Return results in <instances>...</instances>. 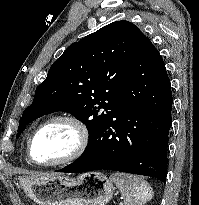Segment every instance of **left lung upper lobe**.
Here are the masks:
<instances>
[{"label": "left lung upper lobe", "instance_id": "obj_1", "mask_svg": "<svg viewBox=\"0 0 199 205\" xmlns=\"http://www.w3.org/2000/svg\"><path fill=\"white\" fill-rule=\"evenodd\" d=\"M144 37L136 25L122 20L71 44L37 87L33 103L22 114L18 132L45 114L69 112L89 132L82 157L100 133Z\"/></svg>", "mask_w": 199, "mask_h": 205}]
</instances>
